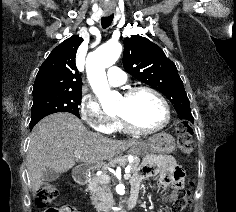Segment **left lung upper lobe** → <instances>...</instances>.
I'll return each mask as SVG.
<instances>
[{
  "label": "left lung upper lobe",
  "instance_id": "left-lung-upper-lobe-1",
  "mask_svg": "<svg viewBox=\"0 0 236 212\" xmlns=\"http://www.w3.org/2000/svg\"><path fill=\"white\" fill-rule=\"evenodd\" d=\"M123 65L137 80L164 94L178 114L191 111L189 99L175 64L163 50L145 37L132 35L124 41Z\"/></svg>",
  "mask_w": 236,
  "mask_h": 212
}]
</instances>
